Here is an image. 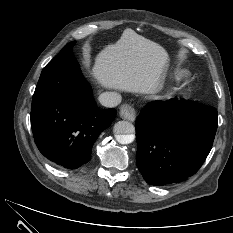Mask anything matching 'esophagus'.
I'll return each instance as SVG.
<instances>
[{
  "label": "esophagus",
  "mask_w": 233,
  "mask_h": 233,
  "mask_svg": "<svg viewBox=\"0 0 233 233\" xmlns=\"http://www.w3.org/2000/svg\"><path fill=\"white\" fill-rule=\"evenodd\" d=\"M119 115L122 119L133 122L136 117V110L127 104H124L120 107Z\"/></svg>",
  "instance_id": "esophagus-1"
}]
</instances>
